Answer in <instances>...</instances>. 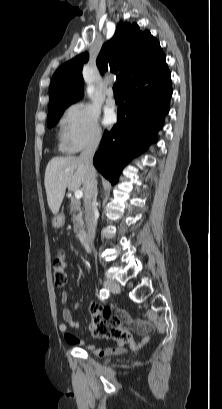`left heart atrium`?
Segmentation results:
<instances>
[{
    "instance_id": "obj_1",
    "label": "left heart atrium",
    "mask_w": 222,
    "mask_h": 409,
    "mask_svg": "<svg viewBox=\"0 0 222 409\" xmlns=\"http://www.w3.org/2000/svg\"><path fill=\"white\" fill-rule=\"evenodd\" d=\"M114 121V115L112 113H108L104 117V123L105 124H111Z\"/></svg>"
}]
</instances>
